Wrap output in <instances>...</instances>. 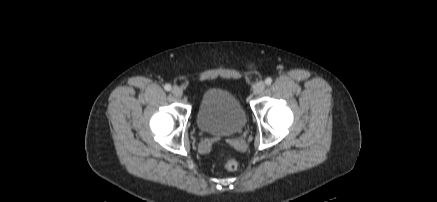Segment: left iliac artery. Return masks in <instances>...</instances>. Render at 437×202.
Instances as JSON below:
<instances>
[{
  "mask_svg": "<svg viewBox=\"0 0 437 202\" xmlns=\"http://www.w3.org/2000/svg\"><path fill=\"white\" fill-rule=\"evenodd\" d=\"M266 85H270L272 83V79L270 77L265 80Z\"/></svg>",
  "mask_w": 437,
  "mask_h": 202,
  "instance_id": "left-iliac-artery-1",
  "label": "left iliac artery"
}]
</instances>
